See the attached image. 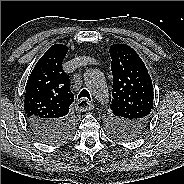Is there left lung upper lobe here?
Wrapping results in <instances>:
<instances>
[{"instance_id": "1", "label": "left lung upper lobe", "mask_w": 184, "mask_h": 184, "mask_svg": "<svg viewBox=\"0 0 184 184\" xmlns=\"http://www.w3.org/2000/svg\"><path fill=\"white\" fill-rule=\"evenodd\" d=\"M113 74V115L111 134L130 140L138 136L150 121L153 107V85L148 70L136 51L126 44L110 47Z\"/></svg>"}]
</instances>
